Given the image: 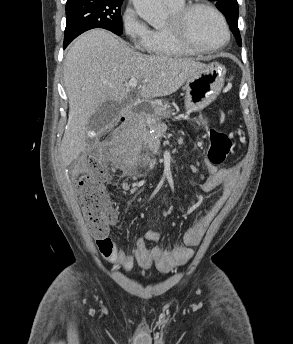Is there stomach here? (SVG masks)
Instances as JSON below:
<instances>
[{
	"instance_id": "obj_1",
	"label": "stomach",
	"mask_w": 293,
	"mask_h": 344,
	"mask_svg": "<svg viewBox=\"0 0 293 344\" xmlns=\"http://www.w3.org/2000/svg\"><path fill=\"white\" fill-rule=\"evenodd\" d=\"M225 68L218 63L205 65L192 75L185 85V107L187 113L196 112L213 102L224 85ZM151 108L162 117H169L171 112L161 103L150 102Z\"/></svg>"
}]
</instances>
